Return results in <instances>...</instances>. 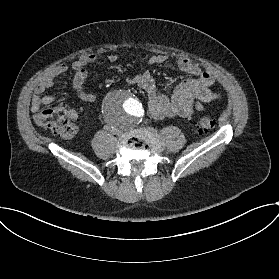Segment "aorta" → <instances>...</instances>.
Masks as SVG:
<instances>
[{
  "label": "aorta",
  "mask_w": 279,
  "mask_h": 279,
  "mask_svg": "<svg viewBox=\"0 0 279 279\" xmlns=\"http://www.w3.org/2000/svg\"><path fill=\"white\" fill-rule=\"evenodd\" d=\"M103 112L106 121L117 131L134 127L144 115L142 103L127 90L111 93L104 102Z\"/></svg>",
  "instance_id": "762f6f07"
}]
</instances>
